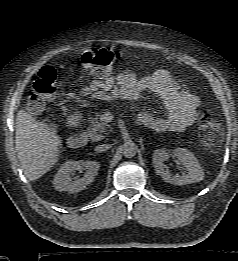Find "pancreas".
<instances>
[{
  "label": "pancreas",
  "instance_id": "1",
  "mask_svg": "<svg viewBox=\"0 0 238 261\" xmlns=\"http://www.w3.org/2000/svg\"><path fill=\"white\" fill-rule=\"evenodd\" d=\"M109 125L103 121L102 115L96 113L95 117L91 118L90 125L87 129V134L93 141H99L104 138L103 133H106V128Z\"/></svg>",
  "mask_w": 238,
  "mask_h": 261
}]
</instances>
